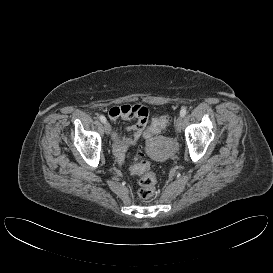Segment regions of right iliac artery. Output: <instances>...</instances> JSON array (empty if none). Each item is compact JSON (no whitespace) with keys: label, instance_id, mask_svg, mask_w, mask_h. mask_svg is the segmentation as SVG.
Masks as SVG:
<instances>
[{"label":"right iliac artery","instance_id":"obj_1","mask_svg":"<svg viewBox=\"0 0 273 273\" xmlns=\"http://www.w3.org/2000/svg\"><path fill=\"white\" fill-rule=\"evenodd\" d=\"M99 118H100V121H101L102 123H105V122H106L105 116L101 115Z\"/></svg>","mask_w":273,"mask_h":273}]
</instances>
